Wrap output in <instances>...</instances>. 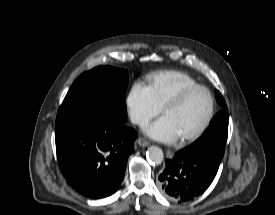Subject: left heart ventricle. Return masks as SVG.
<instances>
[{
    "instance_id": "1",
    "label": "left heart ventricle",
    "mask_w": 275,
    "mask_h": 215,
    "mask_svg": "<svg viewBox=\"0 0 275 215\" xmlns=\"http://www.w3.org/2000/svg\"><path fill=\"white\" fill-rule=\"evenodd\" d=\"M210 107L208 94L203 90L190 93L179 105L166 111V117L174 127L177 137H183L204 121Z\"/></svg>"
}]
</instances>
